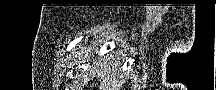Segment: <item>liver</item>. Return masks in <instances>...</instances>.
I'll list each match as a JSON object with an SVG mask.
<instances>
[{
    "label": "liver",
    "mask_w": 216,
    "mask_h": 90,
    "mask_svg": "<svg viewBox=\"0 0 216 90\" xmlns=\"http://www.w3.org/2000/svg\"><path fill=\"white\" fill-rule=\"evenodd\" d=\"M94 56H80L78 68L82 66H87L88 76H96L99 78L101 84L99 90H117L116 82H113V72L116 68L115 64L112 62V56H105V58H97L93 60ZM105 80L106 84H104Z\"/></svg>",
    "instance_id": "obj_1"
}]
</instances>
